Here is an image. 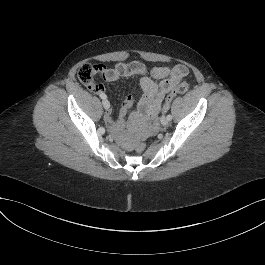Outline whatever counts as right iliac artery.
<instances>
[{"instance_id": "1", "label": "right iliac artery", "mask_w": 265, "mask_h": 265, "mask_svg": "<svg viewBox=\"0 0 265 265\" xmlns=\"http://www.w3.org/2000/svg\"><path fill=\"white\" fill-rule=\"evenodd\" d=\"M99 96H100V98L103 99V100L107 98V96H106L105 94H103V93L100 94Z\"/></svg>"}]
</instances>
